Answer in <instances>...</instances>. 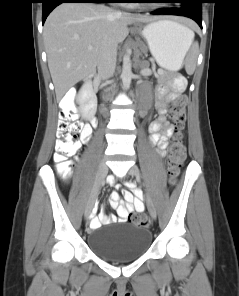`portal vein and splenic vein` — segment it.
<instances>
[{
  "mask_svg": "<svg viewBox=\"0 0 239 296\" xmlns=\"http://www.w3.org/2000/svg\"><path fill=\"white\" fill-rule=\"evenodd\" d=\"M88 49L91 50L92 49V46H89Z\"/></svg>",
  "mask_w": 239,
  "mask_h": 296,
  "instance_id": "1",
  "label": "portal vein and splenic vein"
}]
</instances>
